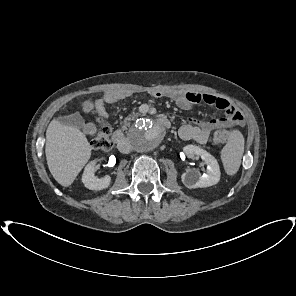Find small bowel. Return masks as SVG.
<instances>
[{
    "mask_svg": "<svg viewBox=\"0 0 296 296\" xmlns=\"http://www.w3.org/2000/svg\"><path fill=\"white\" fill-rule=\"evenodd\" d=\"M130 95L131 93L126 90H112L105 93L102 97L97 98L94 102H86L84 109L88 111L94 107L99 115L105 117L107 115V104L123 100ZM154 95L157 97H166L172 100L181 109H191L195 105L205 103L223 111L224 115L222 117L214 118L208 121L190 119L188 123L184 124L179 129V136L185 141L205 144L208 141L210 134L215 129L226 128L231 124L241 125L244 122V117L241 112H239L228 100L224 98L193 91L156 92ZM95 130L96 128L91 122L83 125V131L88 136L93 135Z\"/></svg>",
    "mask_w": 296,
    "mask_h": 296,
    "instance_id": "1",
    "label": "small bowel"
}]
</instances>
